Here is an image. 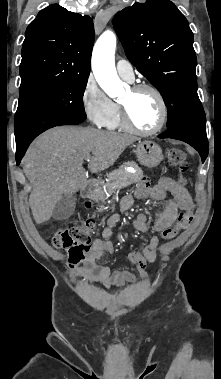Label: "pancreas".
I'll return each mask as SVG.
<instances>
[{"label":"pancreas","instance_id":"cf45deb5","mask_svg":"<svg viewBox=\"0 0 221 379\" xmlns=\"http://www.w3.org/2000/svg\"><path fill=\"white\" fill-rule=\"evenodd\" d=\"M125 167H133L136 172L130 173ZM143 176V172L134 161L126 162L119 169L112 171L107 175L105 187L108 193H114L116 190L124 188L132 183L139 181Z\"/></svg>","mask_w":221,"mask_h":379}]
</instances>
